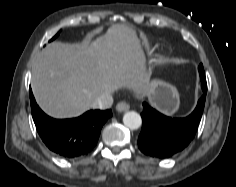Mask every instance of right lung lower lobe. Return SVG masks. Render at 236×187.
Segmentation results:
<instances>
[{
	"label": "right lung lower lobe",
	"mask_w": 236,
	"mask_h": 187,
	"mask_svg": "<svg viewBox=\"0 0 236 187\" xmlns=\"http://www.w3.org/2000/svg\"><path fill=\"white\" fill-rule=\"evenodd\" d=\"M31 112L36 129L46 146L65 159L88 154L97 144L101 128L111 110H90L72 119H53L36 104L30 89Z\"/></svg>",
	"instance_id": "right-lung-lower-lobe-1"
}]
</instances>
